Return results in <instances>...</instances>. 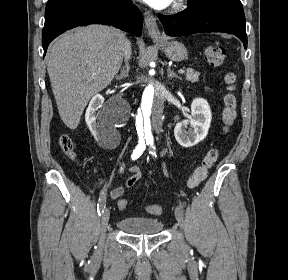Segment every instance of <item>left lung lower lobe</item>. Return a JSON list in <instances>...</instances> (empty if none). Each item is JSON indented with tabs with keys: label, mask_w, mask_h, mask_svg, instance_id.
I'll use <instances>...</instances> for the list:
<instances>
[{
	"label": "left lung lower lobe",
	"mask_w": 288,
	"mask_h": 280,
	"mask_svg": "<svg viewBox=\"0 0 288 280\" xmlns=\"http://www.w3.org/2000/svg\"><path fill=\"white\" fill-rule=\"evenodd\" d=\"M165 32L169 36H184L197 32H224L237 36L247 48L245 19L216 9L207 4L188 6L176 15H160Z\"/></svg>",
	"instance_id": "1"
}]
</instances>
